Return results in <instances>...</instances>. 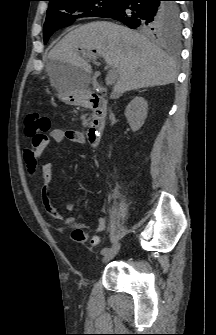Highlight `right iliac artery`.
Wrapping results in <instances>:
<instances>
[{
    "instance_id": "1",
    "label": "right iliac artery",
    "mask_w": 216,
    "mask_h": 335,
    "mask_svg": "<svg viewBox=\"0 0 216 335\" xmlns=\"http://www.w3.org/2000/svg\"><path fill=\"white\" fill-rule=\"evenodd\" d=\"M109 250H110V248L105 247V248H103V249L101 250V254H102V255H105L106 253L109 252Z\"/></svg>"
}]
</instances>
